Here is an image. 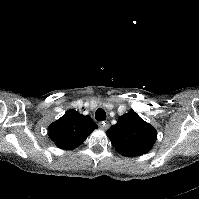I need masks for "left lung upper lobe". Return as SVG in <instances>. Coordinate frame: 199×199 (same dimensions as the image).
Wrapping results in <instances>:
<instances>
[{"mask_svg": "<svg viewBox=\"0 0 199 199\" xmlns=\"http://www.w3.org/2000/svg\"><path fill=\"white\" fill-rule=\"evenodd\" d=\"M112 145L123 156L134 157L147 153L157 138V132L137 113L130 111L118 118L106 132Z\"/></svg>", "mask_w": 199, "mask_h": 199, "instance_id": "1", "label": "left lung upper lobe"}]
</instances>
